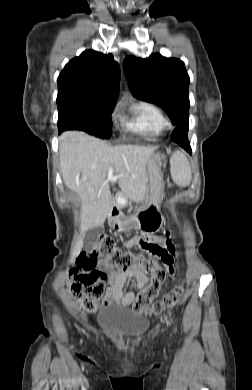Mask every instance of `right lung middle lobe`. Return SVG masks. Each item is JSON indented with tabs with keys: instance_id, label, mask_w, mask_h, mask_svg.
<instances>
[{
	"instance_id": "dd1d6c3e",
	"label": "right lung middle lobe",
	"mask_w": 252,
	"mask_h": 390,
	"mask_svg": "<svg viewBox=\"0 0 252 390\" xmlns=\"http://www.w3.org/2000/svg\"><path fill=\"white\" fill-rule=\"evenodd\" d=\"M112 106L103 104H68L58 106V130H82L100 138H109Z\"/></svg>"
}]
</instances>
